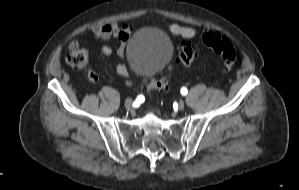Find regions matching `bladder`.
Returning <instances> with one entry per match:
<instances>
[{"instance_id":"31cf9c89","label":"bladder","mask_w":299,"mask_h":190,"mask_svg":"<svg viewBox=\"0 0 299 190\" xmlns=\"http://www.w3.org/2000/svg\"><path fill=\"white\" fill-rule=\"evenodd\" d=\"M173 54L168 37L155 29L136 32L126 47V58L134 75L153 77L159 73Z\"/></svg>"}]
</instances>
